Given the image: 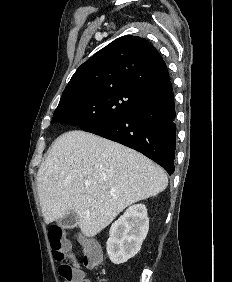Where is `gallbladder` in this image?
I'll return each instance as SVG.
<instances>
[{"label":"gallbladder","instance_id":"obj_1","mask_svg":"<svg viewBox=\"0 0 232 282\" xmlns=\"http://www.w3.org/2000/svg\"><path fill=\"white\" fill-rule=\"evenodd\" d=\"M78 214L75 211H70L57 220L58 226L61 228H74L78 224Z\"/></svg>","mask_w":232,"mask_h":282}]
</instances>
